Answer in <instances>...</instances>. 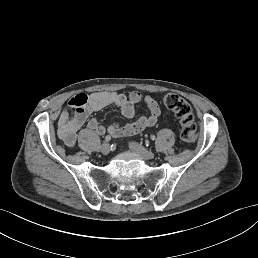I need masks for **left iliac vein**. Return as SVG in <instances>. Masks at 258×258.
Returning <instances> with one entry per match:
<instances>
[{
	"mask_svg": "<svg viewBox=\"0 0 258 258\" xmlns=\"http://www.w3.org/2000/svg\"><path fill=\"white\" fill-rule=\"evenodd\" d=\"M129 147L132 148L131 150L133 153H135V154L137 153V155L142 157L143 159H145L147 161L150 159H153V156H154L153 153L148 150H144L143 147L136 144V142L134 145H129Z\"/></svg>",
	"mask_w": 258,
	"mask_h": 258,
	"instance_id": "left-iliac-vein-1",
	"label": "left iliac vein"
}]
</instances>
